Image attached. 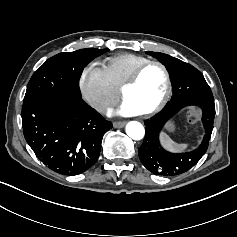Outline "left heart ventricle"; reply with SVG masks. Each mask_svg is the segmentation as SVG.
Listing matches in <instances>:
<instances>
[{
    "mask_svg": "<svg viewBox=\"0 0 237 237\" xmlns=\"http://www.w3.org/2000/svg\"><path fill=\"white\" fill-rule=\"evenodd\" d=\"M165 75L158 66H150L141 75L136 85L125 94L129 102L140 114L153 109L165 92Z\"/></svg>",
    "mask_w": 237,
    "mask_h": 237,
    "instance_id": "1",
    "label": "left heart ventricle"
}]
</instances>
